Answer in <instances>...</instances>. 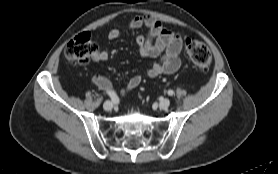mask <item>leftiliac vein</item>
Returning <instances> with one entry per match:
<instances>
[{
	"instance_id": "left-iliac-vein-1",
	"label": "left iliac vein",
	"mask_w": 278,
	"mask_h": 174,
	"mask_svg": "<svg viewBox=\"0 0 278 174\" xmlns=\"http://www.w3.org/2000/svg\"><path fill=\"white\" fill-rule=\"evenodd\" d=\"M169 105H170V100L167 99V98L161 100L160 103H159V107H160L161 109H167V108L169 107Z\"/></svg>"
}]
</instances>
